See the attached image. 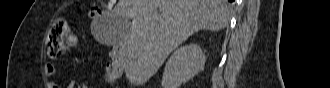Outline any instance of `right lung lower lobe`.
<instances>
[{"label": "right lung lower lobe", "mask_w": 330, "mask_h": 88, "mask_svg": "<svg viewBox=\"0 0 330 88\" xmlns=\"http://www.w3.org/2000/svg\"><path fill=\"white\" fill-rule=\"evenodd\" d=\"M229 2H233L234 0H228Z\"/></svg>", "instance_id": "98d812e1"}]
</instances>
